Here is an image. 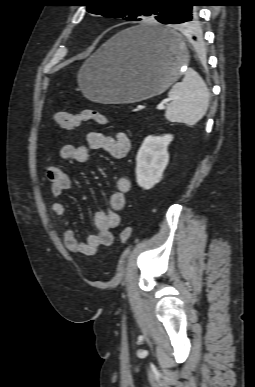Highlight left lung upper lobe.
Here are the masks:
<instances>
[{"label":"left lung upper lobe","instance_id":"5c2ea615","mask_svg":"<svg viewBox=\"0 0 255 387\" xmlns=\"http://www.w3.org/2000/svg\"><path fill=\"white\" fill-rule=\"evenodd\" d=\"M184 0H82L87 11L110 18L139 21L143 16H154L165 24L175 3Z\"/></svg>","mask_w":255,"mask_h":387}]
</instances>
